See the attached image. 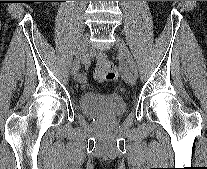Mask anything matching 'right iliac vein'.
I'll list each match as a JSON object with an SVG mask.
<instances>
[{
  "mask_svg": "<svg viewBox=\"0 0 207 169\" xmlns=\"http://www.w3.org/2000/svg\"><path fill=\"white\" fill-rule=\"evenodd\" d=\"M88 44H89V36L88 34H85L80 42V45L76 53V57L71 67L72 76L75 80H78V81H79L78 72H79V67H80V60H81V57L86 53L88 49Z\"/></svg>",
  "mask_w": 207,
  "mask_h": 169,
  "instance_id": "1",
  "label": "right iliac vein"
}]
</instances>
